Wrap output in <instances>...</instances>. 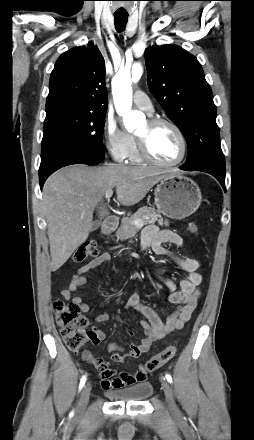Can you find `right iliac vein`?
I'll return each instance as SVG.
<instances>
[{
    "label": "right iliac vein",
    "mask_w": 254,
    "mask_h": 440,
    "mask_svg": "<svg viewBox=\"0 0 254 440\" xmlns=\"http://www.w3.org/2000/svg\"><path fill=\"white\" fill-rule=\"evenodd\" d=\"M90 391L91 386L89 383H87L81 391L80 399L77 406V414L81 415L85 411L89 402Z\"/></svg>",
    "instance_id": "obj_1"
}]
</instances>
